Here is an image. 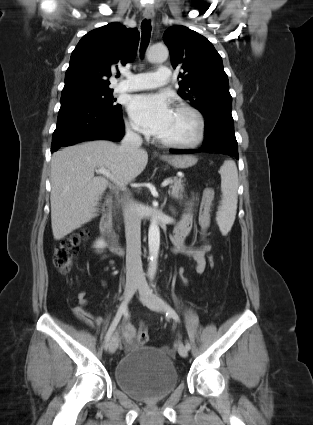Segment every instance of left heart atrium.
Returning a JSON list of instances; mask_svg holds the SVG:
<instances>
[{
    "mask_svg": "<svg viewBox=\"0 0 313 425\" xmlns=\"http://www.w3.org/2000/svg\"><path fill=\"white\" fill-rule=\"evenodd\" d=\"M128 111L138 130L156 136L165 131L173 114L169 100L160 94L133 96Z\"/></svg>",
    "mask_w": 313,
    "mask_h": 425,
    "instance_id": "left-heart-atrium-1",
    "label": "left heart atrium"
}]
</instances>
